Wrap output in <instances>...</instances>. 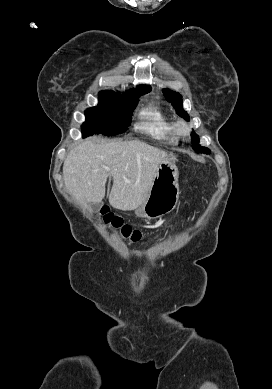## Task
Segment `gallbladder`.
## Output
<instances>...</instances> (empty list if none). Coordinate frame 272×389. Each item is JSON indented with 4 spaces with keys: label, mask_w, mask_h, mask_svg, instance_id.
Returning a JSON list of instances; mask_svg holds the SVG:
<instances>
[{
    "label": "gallbladder",
    "mask_w": 272,
    "mask_h": 389,
    "mask_svg": "<svg viewBox=\"0 0 272 389\" xmlns=\"http://www.w3.org/2000/svg\"><path fill=\"white\" fill-rule=\"evenodd\" d=\"M91 207L93 210L98 211L101 207V203H91Z\"/></svg>",
    "instance_id": "gallbladder-1"
}]
</instances>
